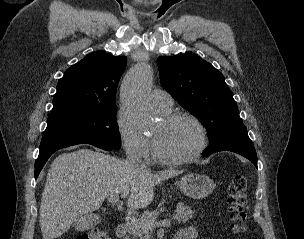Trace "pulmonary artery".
<instances>
[{
  "label": "pulmonary artery",
  "mask_w": 304,
  "mask_h": 239,
  "mask_svg": "<svg viewBox=\"0 0 304 239\" xmlns=\"http://www.w3.org/2000/svg\"><path fill=\"white\" fill-rule=\"evenodd\" d=\"M150 102L159 111H169L173 106L171 95L160 89H155L151 92Z\"/></svg>",
  "instance_id": "obj_1"
}]
</instances>
